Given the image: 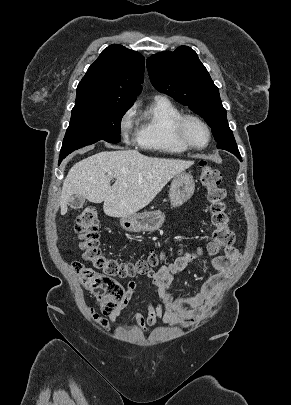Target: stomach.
Masks as SVG:
<instances>
[{
  "instance_id": "obj_1",
  "label": "stomach",
  "mask_w": 291,
  "mask_h": 405,
  "mask_svg": "<svg viewBox=\"0 0 291 405\" xmlns=\"http://www.w3.org/2000/svg\"><path fill=\"white\" fill-rule=\"evenodd\" d=\"M195 183L192 175L181 172L172 180L169 197L173 207L181 206L194 194ZM165 220V214L160 210L139 212L123 216L120 219L121 226L131 232L155 231L161 228Z\"/></svg>"
}]
</instances>
